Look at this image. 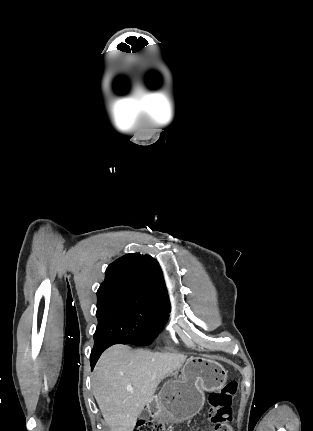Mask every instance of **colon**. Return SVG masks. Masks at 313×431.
Masks as SVG:
<instances>
[{
	"label": "colon",
	"instance_id": "colon-1",
	"mask_svg": "<svg viewBox=\"0 0 313 431\" xmlns=\"http://www.w3.org/2000/svg\"><path fill=\"white\" fill-rule=\"evenodd\" d=\"M237 392V382L229 381L220 390L212 392L209 397L208 417L213 424L212 431H233L231 426L233 396ZM135 431H167L164 423L156 420H143L137 424Z\"/></svg>",
	"mask_w": 313,
	"mask_h": 431
}]
</instances>
